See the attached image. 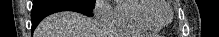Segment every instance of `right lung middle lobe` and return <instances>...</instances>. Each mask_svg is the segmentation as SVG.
Wrapping results in <instances>:
<instances>
[{
  "mask_svg": "<svg viewBox=\"0 0 219 37\" xmlns=\"http://www.w3.org/2000/svg\"><path fill=\"white\" fill-rule=\"evenodd\" d=\"M50 1H52V0H34L33 6L40 5V4H43L46 2H50ZM72 2L77 3L83 7L90 9V10H92V7H93V0H73Z\"/></svg>",
  "mask_w": 219,
  "mask_h": 37,
  "instance_id": "dd1d6c3e",
  "label": "right lung middle lobe"
}]
</instances>
